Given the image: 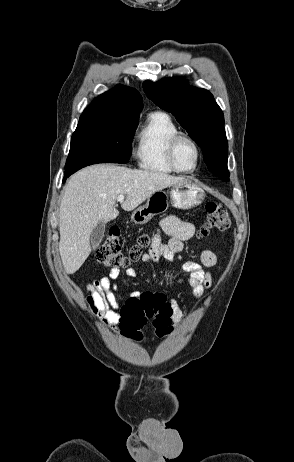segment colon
Masks as SVG:
<instances>
[{"label": "colon", "instance_id": "colon-1", "mask_svg": "<svg viewBox=\"0 0 294 462\" xmlns=\"http://www.w3.org/2000/svg\"><path fill=\"white\" fill-rule=\"evenodd\" d=\"M231 219L226 208L219 203L209 202L205 206V222L200 229L201 236H209L213 230L222 232L229 228ZM120 231L111 227L96 251V260L110 268H124L137 261L141 251L150 238L143 235L138 244L124 254L119 242ZM172 308L166 295L159 292L145 291L131 296L120 310L119 326L123 333L135 339H141V329L151 321L159 335L172 330Z\"/></svg>", "mask_w": 294, "mask_h": 462}]
</instances>
